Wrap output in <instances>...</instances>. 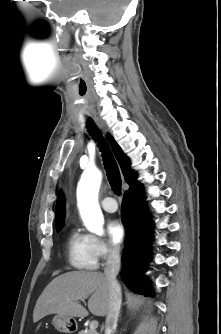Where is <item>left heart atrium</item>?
<instances>
[{
    "mask_svg": "<svg viewBox=\"0 0 221 334\" xmlns=\"http://www.w3.org/2000/svg\"><path fill=\"white\" fill-rule=\"evenodd\" d=\"M107 231L109 239L114 245H119L123 241L125 229L120 220H110L107 224Z\"/></svg>",
    "mask_w": 221,
    "mask_h": 334,
    "instance_id": "left-heart-atrium-1",
    "label": "left heart atrium"
}]
</instances>
